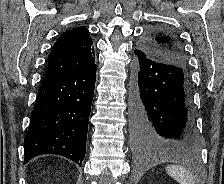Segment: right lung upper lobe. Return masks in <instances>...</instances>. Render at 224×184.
<instances>
[{"label": "right lung upper lobe", "instance_id": "cb5924a9", "mask_svg": "<svg viewBox=\"0 0 224 184\" xmlns=\"http://www.w3.org/2000/svg\"><path fill=\"white\" fill-rule=\"evenodd\" d=\"M87 29L63 33L53 45L45 76L53 77L83 70L94 63V48Z\"/></svg>", "mask_w": 224, "mask_h": 184}]
</instances>
